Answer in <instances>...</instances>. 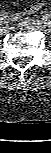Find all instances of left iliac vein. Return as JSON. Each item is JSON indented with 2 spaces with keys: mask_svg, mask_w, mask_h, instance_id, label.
Segmentation results:
<instances>
[{
  "mask_svg": "<svg viewBox=\"0 0 51 153\" xmlns=\"http://www.w3.org/2000/svg\"><path fill=\"white\" fill-rule=\"evenodd\" d=\"M24 26L27 28V29H36V30H42V31H46L47 30V26L44 25V23L42 22H30V21H25L23 22Z\"/></svg>",
  "mask_w": 51,
  "mask_h": 153,
  "instance_id": "obj_1",
  "label": "left iliac vein"
}]
</instances>
